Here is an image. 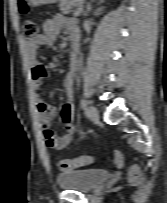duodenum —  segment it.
<instances>
[{
	"label": "duodenum",
	"instance_id": "1",
	"mask_svg": "<svg viewBox=\"0 0 167 203\" xmlns=\"http://www.w3.org/2000/svg\"><path fill=\"white\" fill-rule=\"evenodd\" d=\"M79 53V45L77 41H74L71 46V55L76 57Z\"/></svg>",
	"mask_w": 167,
	"mask_h": 203
}]
</instances>
